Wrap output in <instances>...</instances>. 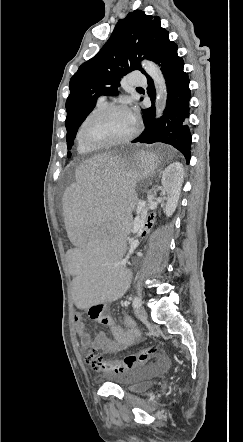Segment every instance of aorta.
Wrapping results in <instances>:
<instances>
[{
  "instance_id": "762f6f07",
  "label": "aorta",
  "mask_w": 243,
  "mask_h": 442,
  "mask_svg": "<svg viewBox=\"0 0 243 442\" xmlns=\"http://www.w3.org/2000/svg\"><path fill=\"white\" fill-rule=\"evenodd\" d=\"M142 66L152 77L156 88V110L161 113L167 100V87L161 70L151 61H143Z\"/></svg>"
}]
</instances>
